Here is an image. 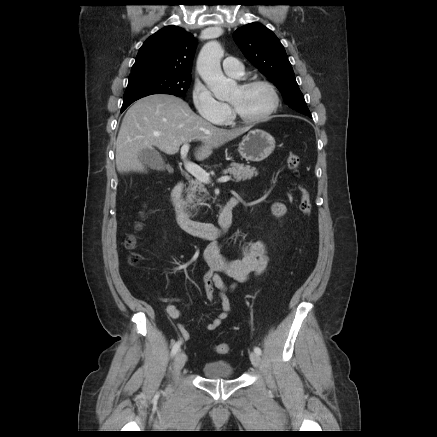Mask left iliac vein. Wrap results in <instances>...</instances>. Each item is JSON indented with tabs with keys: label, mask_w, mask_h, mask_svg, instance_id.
I'll return each mask as SVG.
<instances>
[{
	"label": "left iliac vein",
	"mask_w": 437,
	"mask_h": 437,
	"mask_svg": "<svg viewBox=\"0 0 437 437\" xmlns=\"http://www.w3.org/2000/svg\"><path fill=\"white\" fill-rule=\"evenodd\" d=\"M250 360H251L252 365L255 368L259 367L260 361H261V358H260L259 354H257L256 352H251L250 353Z\"/></svg>",
	"instance_id": "obj_1"
}]
</instances>
